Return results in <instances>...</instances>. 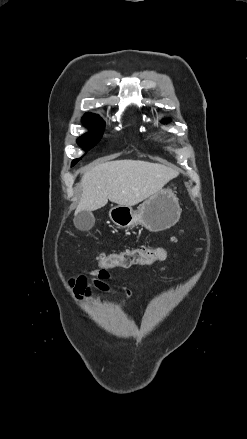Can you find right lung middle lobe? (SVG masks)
<instances>
[{
  "instance_id": "right-lung-middle-lobe-1",
  "label": "right lung middle lobe",
  "mask_w": 247,
  "mask_h": 439,
  "mask_svg": "<svg viewBox=\"0 0 247 439\" xmlns=\"http://www.w3.org/2000/svg\"><path fill=\"white\" fill-rule=\"evenodd\" d=\"M82 122L86 127H88L91 132L86 133L77 139V143L84 150H89L94 147L96 143L100 140L103 130L104 121L100 117H83ZM79 161V159L73 160V165Z\"/></svg>"
}]
</instances>
